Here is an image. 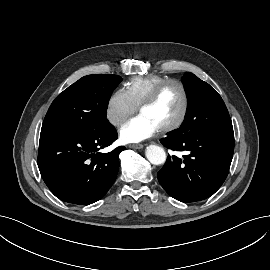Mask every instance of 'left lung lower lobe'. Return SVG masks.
Wrapping results in <instances>:
<instances>
[{
	"label": "left lung lower lobe",
	"mask_w": 270,
	"mask_h": 270,
	"mask_svg": "<svg viewBox=\"0 0 270 270\" xmlns=\"http://www.w3.org/2000/svg\"><path fill=\"white\" fill-rule=\"evenodd\" d=\"M161 143L189 153L183 160L168 156L158 172L159 183L176 200L185 203L204 200L225 181L234 151L233 132L192 130L179 137L172 131Z\"/></svg>",
	"instance_id": "1"
}]
</instances>
